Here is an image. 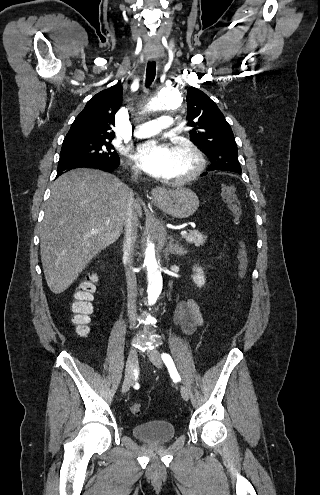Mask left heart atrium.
Wrapping results in <instances>:
<instances>
[{
	"label": "left heart atrium",
	"instance_id": "left-heart-atrium-1",
	"mask_svg": "<svg viewBox=\"0 0 320 495\" xmlns=\"http://www.w3.org/2000/svg\"><path fill=\"white\" fill-rule=\"evenodd\" d=\"M133 158L148 174L160 178H172L174 156L170 147L156 141H148L137 147Z\"/></svg>",
	"mask_w": 320,
	"mask_h": 495
}]
</instances>
